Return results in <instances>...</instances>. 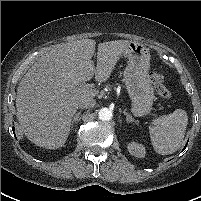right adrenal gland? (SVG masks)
Masks as SVG:
<instances>
[{
    "mask_svg": "<svg viewBox=\"0 0 201 201\" xmlns=\"http://www.w3.org/2000/svg\"><path fill=\"white\" fill-rule=\"evenodd\" d=\"M80 114H81V111H79V112H77V113L75 114V116L73 117L72 123H71L72 126H73L74 123H77V122H78Z\"/></svg>",
    "mask_w": 201,
    "mask_h": 201,
    "instance_id": "obj_1",
    "label": "right adrenal gland"
}]
</instances>
